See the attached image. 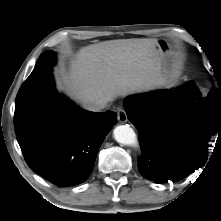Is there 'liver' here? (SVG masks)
Segmentation results:
<instances>
[{"instance_id":"obj_1","label":"liver","mask_w":221,"mask_h":221,"mask_svg":"<svg viewBox=\"0 0 221 221\" xmlns=\"http://www.w3.org/2000/svg\"><path fill=\"white\" fill-rule=\"evenodd\" d=\"M157 39H119L81 48L62 83L83 105L152 90L163 84Z\"/></svg>"}]
</instances>
